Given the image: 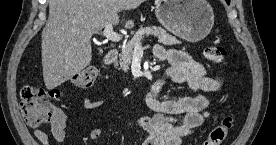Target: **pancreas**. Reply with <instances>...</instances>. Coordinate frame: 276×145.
<instances>
[{
    "label": "pancreas",
    "instance_id": "1",
    "mask_svg": "<svg viewBox=\"0 0 276 145\" xmlns=\"http://www.w3.org/2000/svg\"><path fill=\"white\" fill-rule=\"evenodd\" d=\"M150 35L157 37L158 42L166 46L181 44V42L178 39H176V37L167 33L166 30H164L162 27H157V26L141 27L134 34V37L124 47H122L121 54H120V61L116 63V66H118V63H119L120 68L123 71L127 72L133 56L134 46L137 43L141 42V40L145 36H150Z\"/></svg>",
    "mask_w": 276,
    "mask_h": 145
}]
</instances>
